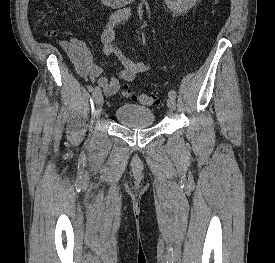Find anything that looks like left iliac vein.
<instances>
[{"instance_id":"4c4485c4","label":"left iliac vein","mask_w":275,"mask_h":263,"mask_svg":"<svg viewBox=\"0 0 275 263\" xmlns=\"http://www.w3.org/2000/svg\"><path fill=\"white\" fill-rule=\"evenodd\" d=\"M167 106H168L169 110L175 111L176 110L175 98L169 97L167 100Z\"/></svg>"}]
</instances>
